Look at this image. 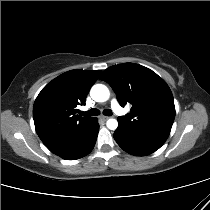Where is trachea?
<instances>
[{"label": "trachea", "instance_id": "trachea-1", "mask_svg": "<svg viewBox=\"0 0 210 210\" xmlns=\"http://www.w3.org/2000/svg\"><path fill=\"white\" fill-rule=\"evenodd\" d=\"M100 114V111L98 109H95V108H92L86 112H81V115H84V116H97ZM103 114L105 116H111L112 115V111L110 109H105L103 111Z\"/></svg>", "mask_w": 210, "mask_h": 210}]
</instances>
